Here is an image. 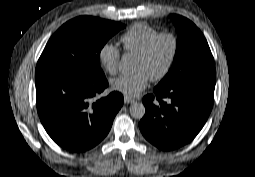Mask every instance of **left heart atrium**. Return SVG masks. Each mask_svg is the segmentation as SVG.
I'll use <instances>...</instances> for the list:
<instances>
[{
	"label": "left heart atrium",
	"mask_w": 255,
	"mask_h": 177,
	"mask_svg": "<svg viewBox=\"0 0 255 177\" xmlns=\"http://www.w3.org/2000/svg\"><path fill=\"white\" fill-rule=\"evenodd\" d=\"M148 85V76L141 72L122 75L111 82V88L127 97L138 96Z\"/></svg>",
	"instance_id": "left-heart-atrium-1"
}]
</instances>
